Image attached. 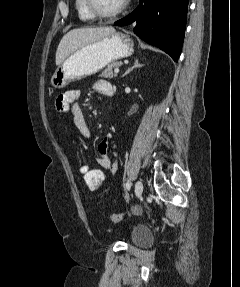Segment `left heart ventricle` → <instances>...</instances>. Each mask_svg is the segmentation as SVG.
I'll list each match as a JSON object with an SVG mask.
<instances>
[{
    "label": "left heart ventricle",
    "mask_w": 240,
    "mask_h": 287,
    "mask_svg": "<svg viewBox=\"0 0 240 287\" xmlns=\"http://www.w3.org/2000/svg\"><path fill=\"white\" fill-rule=\"evenodd\" d=\"M123 0H97L98 6L103 11H112L116 9Z\"/></svg>",
    "instance_id": "1"
}]
</instances>
